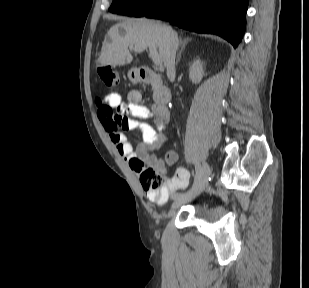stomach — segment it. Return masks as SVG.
<instances>
[{
    "label": "stomach",
    "mask_w": 309,
    "mask_h": 288,
    "mask_svg": "<svg viewBox=\"0 0 309 288\" xmlns=\"http://www.w3.org/2000/svg\"><path fill=\"white\" fill-rule=\"evenodd\" d=\"M128 78L131 82L133 83H137L140 81V75L138 73V70L135 68H132L129 72H128Z\"/></svg>",
    "instance_id": "stomach-1"
}]
</instances>
